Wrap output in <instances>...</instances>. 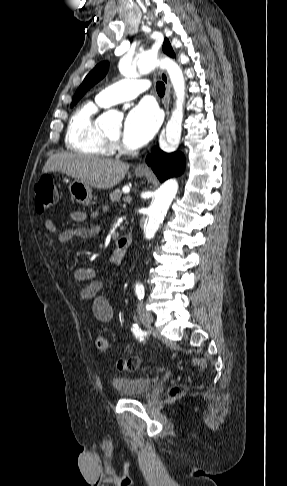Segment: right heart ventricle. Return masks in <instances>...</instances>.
Returning <instances> with one entry per match:
<instances>
[{
    "mask_svg": "<svg viewBox=\"0 0 287 486\" xmlns=\"http://www.w3.org/2000/svg\"><path fill=\"white\" fill-rule=\"evenodd\" d=\"M103 107L89 101L73 113L66 132V145L71 151L94 157L110 154L111 145L96 124V115Z\"/></svg>",
    "mask_w": 287,
    "mask_h": 486,
    "instance_id": "obj_1",
    "label": "right heart ventricle"
}]
</instances>
